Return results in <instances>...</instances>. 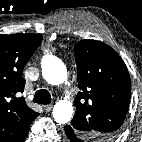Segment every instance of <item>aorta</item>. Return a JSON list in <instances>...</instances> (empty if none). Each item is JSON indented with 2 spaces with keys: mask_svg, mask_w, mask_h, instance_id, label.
Masks as SVG:
<instances>
[{
  "mask_svg": "<svg viewBox=\"0 0 142 142\" xmlns=\"http://www.w3.org/2000/svg\"><path fill=\"white\" fill-rule=\"evenodd\" d=\"M42 75L51 85H59L66 80L67 71L64 63L53 55H45L41 61ZM53 118L59 124H66L73 115L72 103L67 100L58 101L53 108Z\"/></svg>",
  "mask_w": 142,
  "mask_h": 142,
  "instance_id": "762f6f07",
  "label": "aorta"
}]
</instances>
